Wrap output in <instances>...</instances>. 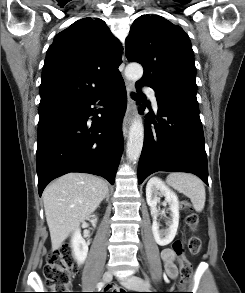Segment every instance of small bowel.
Wrapping results in <instances>:
<instances>
[{"label":"small bowel","mask_w":245,"mask_h":293,"mask_svg":"<svg viewBox=\"0 0 245 293\" xmlns=\"http://www.w3.org/2000/svg\"><path fill=\"white\" fill-rule=\"evenodd\" d=\"M162 261L165 266L167 275L171 279H176L178 277V267L176 264L175 256L170 249L163 250L161 254Z\"/></svg>","instance_id":"small-bowel-1"}]
</instances>
